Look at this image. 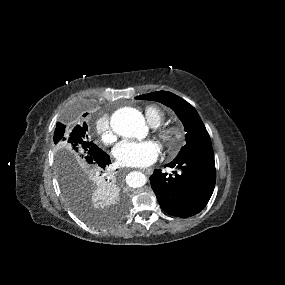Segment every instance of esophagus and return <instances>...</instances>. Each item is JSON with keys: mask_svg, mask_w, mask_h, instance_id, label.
<instances>
[{"mask_svg": "<svg viewBox=\"0 0 285 285\" xmlns=\"http://www.w3.org/2000/svg\"><path fill=\"white\" fill-rule=\"evenodd\" d=\"M141 171L146 173V174H148V175H151L153 173V169L152 168L142 169Z\"/></svg>", "mask_w": 285, "mask_h": 285, "instance_id": "1", "label": "esophagus"}]
</instances>
